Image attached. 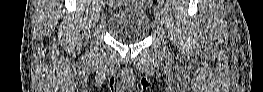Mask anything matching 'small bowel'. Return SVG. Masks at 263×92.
<instances>
[{"instance_id":"small-bowel-1","label":"small bowel","mask_w":263,"mask_h":92,"mask_svg":"<svg viewBox=\"0 0 263 92\" xmlns=\"http://www.w3.org/2000/svg\"><path fill=\"white\" fill-rule=\"evenodd\" d=\"M143 5L149 3L148 1H140Z\"/></svg>"}]
</instances>
